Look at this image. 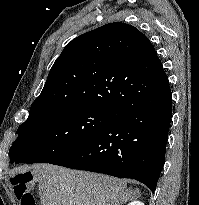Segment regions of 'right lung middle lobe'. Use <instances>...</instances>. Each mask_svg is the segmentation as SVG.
Returning <instances> with one entry per match:
<instances>
[{"mask_svg": "<svg viewBox=\"0 0 199 205\" xmlns=\"http://www.w3.org/2000/svg\"><path fill=\"white\" fill-rule=\"evenodd\" d=\"M113 118L89 105L60 104L30 109L9 151L11 163H50L88 142Z\"/></svg>", "mask_w": 199, "mask_h": 205, "instance_id": "1", "label": "right lung middle lobe"}]
</instances>
